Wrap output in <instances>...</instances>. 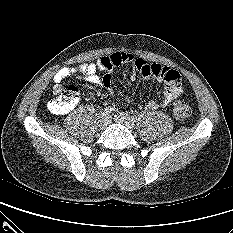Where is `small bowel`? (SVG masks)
I'll return each instance as SVG.
<instances>
[{
    "label": "small bowel",
    "mask_w": 233,
    "mask_h": 233,
    "mask_svg": "<svg viewBox=\"0 0 233 233\" xmlns=\"http://www.w3.org/2000/svg\"><path fill=\"white\" fill-rule=\"evenodd\" d=\"M121 64H130L132 66V79L140 74L146 79H156L164 83L165 92L163 98L159 101L151 100L147 102L146 107L148 109L164 108L182 93L180 75L176 70L159 64H149L145 60L136 58L127 52H115L103 56L95 62L82 64L78 68L62 67L53 77L54 92L57 93L61 88V83L75 73H80V77L90 84L110 87L111 77L108 72ZM101 72H105V74L101 76ZM116 108L117 106H114V109Z\"/></svg>",
    "instance_id": "obj_1"
}]
</instances>
